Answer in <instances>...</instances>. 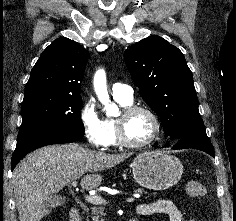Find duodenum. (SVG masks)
Returning a JSON list of instances; mask_svg holds the SVG:
<instances>
[{
    "mask_svg": "<svg viewBox=\"0 0 236 221\" xmlns=\"http://www.w3.org/2000/svg\"><path fill=\"white\" fill-rule=\"evenodd\" d=\"M69 221H82L80 209L77 206L71 208ZM129 221H138L137 218H131Z\"/></svg>",
    "mask_w": 236,
    "mask_h": 221,
    "instance_id": "duodenum-1",
    "label": "duodenum"
}]
</instances>
